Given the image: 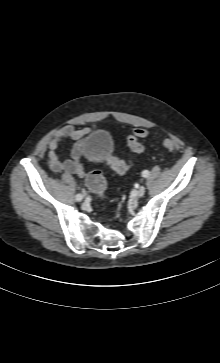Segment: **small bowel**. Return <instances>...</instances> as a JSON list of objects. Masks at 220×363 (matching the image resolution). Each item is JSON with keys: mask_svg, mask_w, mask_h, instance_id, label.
I'll return each mask as SVG.
<instances>
[{"mask_svg": "<svg viewBox=\"0 0 220 363\" xmlns=\"http://www.w3.org/2000/svg\"><path fill=\"white\" fill-rule=\"evenodd\" d=\"M89 128L76 129L72 125H66L56 130L48 143V158L47 164L49 168L55 173L66 172L76 175L80 178L85 176L84 168L80 162L82 155V145L84 137L89 133ZM76 140L77 144L74 146L71 156L66 159H60L57 155L59 144L64 139Z\"/></svg>", "mask_w": 220, "mask_h": 363, "instance_id": "1", "label": "small bowel"}]
</instances>
